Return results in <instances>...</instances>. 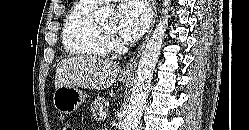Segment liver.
<instances>
[{
    "instance_id": "6515ba94",
    "label": "liver",
    "mask_w": 249,
    "mask_h": 130,
    "mask_svg": "<svg viewBox=\"0 0 249 130\" xmlns=\"http://www.w3.org/2000/svg\"><path fill=\"white\" fill-rule=\"evenodd\" d=\"M120 66L95 56H76L61 60L56 67L55 89L73 86L103 90L114 83Z\"/></svg>"
}]
</instances>
